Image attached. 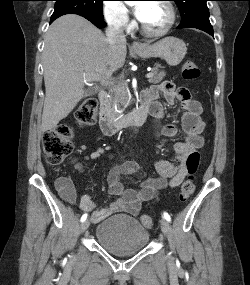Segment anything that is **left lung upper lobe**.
I'll return each mask as SVG.
<instances>
[{"label": "left lung upper lobe", "mask_w": 250, "mask_h": 285, "mask_svg": "<svg viewBox=\"0 0 250 285\" xmlns=\"http://www.w3.org/2000/svg\"><path fill=\"white\" fill-rule=\"evenodd\" d=\"M176 3L181 14L178 28H212L209 21L208 0H172Z\"/></svg>", "instance_id": "obj_1"}]
</instances>
